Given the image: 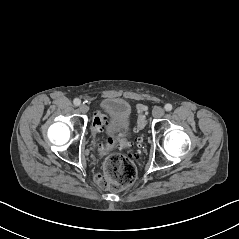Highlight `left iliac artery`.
Instances as JSON below:
<instances>
[{"label":"left iliac artery","instance_id":"obj_1","mask_svg":"<svg viewBox=\"0 0 239 239\" xmlns=\"http://www.w3.org/2000/svg\"><path fill=\"white\" fill-rule=\"evenodd\" d=\"M164 108H165L166 111H171L172 110V105L168 103V104L165 105Z\"/></svg>","mask_w":239,"mask_h":239}]
</instances>
